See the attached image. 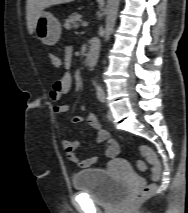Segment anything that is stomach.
I'll return each mask as SVG.
<instances>
[{
    "label": "stomach",
    "mask_w": 188,
    "mask_h": 213,
    "mask_svg": "<svg viewBox=\"0 0 188 213\" xmlns=\"http://www.w3.org/2000/svg\"><path fill=\"white\" fill-rule=\"evenodd\" d=\"M61 24L50 12L42 11L35 25L36 37L46 45H55L61 37Z\"/></svg>",
    "instance_id": "0dacf381"
}]
</instances>
